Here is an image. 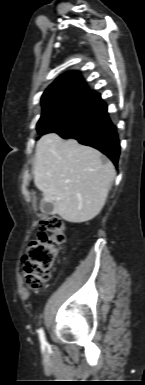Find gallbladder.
<instances>
[{
  "label": "gallbladder",
  "instance_id": "1",
  "mask_svg": "<svg viewBox=\"0 0 145 385\" xmlns=\"http://www.w3.org/2000/svg\"><path fill=\"white\" fill-rule=\"evenodd\" d=\"M40 209L44 214L51 215L55 213L54 205L49 202L42 201Z\"/></svg>",
  "mask_w": 145,
  "mask_h": 385
}]
</instances>
